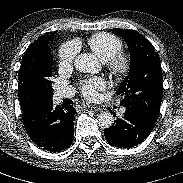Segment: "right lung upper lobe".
Returning a JSON list of instances; mask_svg holds the SVG:
<instances>
[{"instance_id":"1","label":"right lung upper lobe","mask_w":183,"mask_h":183,"mask_svg":"<svg viewBox=\"0 0 183 183\" xmlns=\"http://www.w3.org/2000/svg\"><path fill=\"white\" fill-rule=\"evenodd\" d=\"M56 33L57 31L45 33L35 40L26 50L22 57L21 67L18 74L19 81L24 80L36 70L39 58H41L45 52L49 51V41Z\"/></svg>"}]
</instances>
